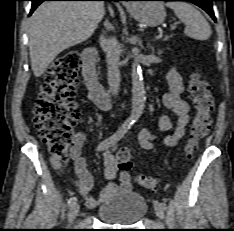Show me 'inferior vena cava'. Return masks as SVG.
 <instances>
[{
    "label": "inferior vena cava",
    "mask_w": 234,
    "mask_h": 231,
    "mask_svg": "<svg viewBox=\"0 0 234 231\" xmlns=\"http://www.w3.org/2000/svg\"><path fill=\"white\" fill-rule=\"evenodd\" d=\"M101 39L106 51L109 90L116 96L120 89V45L115 37L106 39L102 36Z\"/></svg>",
    "instance_id": "602c4592"
}]
</instances>
